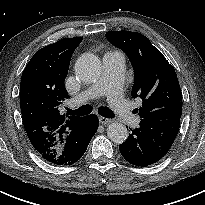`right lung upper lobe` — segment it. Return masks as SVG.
<instances>
[{
    "instance_id": "1",
    "label": "right lung upper lobe",
    "mask_w": 205,
    "mask_h": 205,
    "mask_svg": "<svg viewBox=\"0 0 205 205\" xmlns=\"http://www.w3.org/2000/svg\"><path fill=\"white\" fill-rule=\"evenodd\" d=\"M83 37L64 38L41 48L25 67L20 84L22 120L35 150L48 162L55 161L71 130L83 118L60 114L69 98L64 86L71 56Z\"/></svg>"
}]
</instances>
